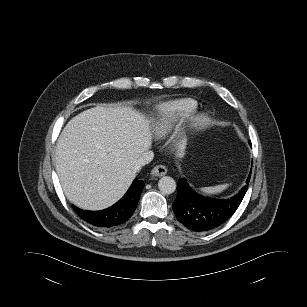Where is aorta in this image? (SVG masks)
Wrapping results in <instances>:
<instances>
[{"label": "aorta", "mask_w": 307, "mask_h": 307, "mask_svg": "<svg viewBox=\"0 0 307 307\" xmlns=\"http://www.w3.org/2000/svg\"><path fill=\"white\" fill-rule=\"evenodd\" d=\"M158 188L163 194H171L176 190V182L172 177L164 176L159 180Z\"/></svg>", "instance_id": "1"}]
</instances>
